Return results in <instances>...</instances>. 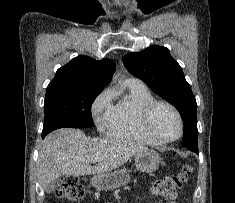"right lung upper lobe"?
<instances>
[{
  "mask_svg": "<svg viewBox=\"0 0 235 203\" xmlns=\"http://www.w3.org/2000/svg\"><path fill=\"white\" fill-rule=\"evenodd\" d=\"M115 67V63L106 58L96 61L87 56H78L57 70L47 89L71 86L103 89L111 81Z\"/></svg>",
  "mask_w": 235,
  "mask_h": 203,
  "instance_id": "1",
  "label": "right lung upper lobe"
}]
</instances>
